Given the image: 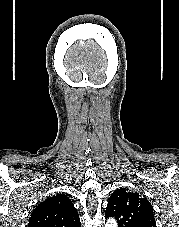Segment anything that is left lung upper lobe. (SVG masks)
I'll return each instance as SVG.
<instances>
[{"instance_id": "5c2ea615", "label": "left lung upper lobe", "mask_w": 179, "mask_h": 227, "mask_svg": "<svg viewBox=\"0 0 179 227\" xmlns=\"http://www.w3.org/2000/svg\"><path fill=\"white\" fill-rule=\"evenodd\" d=\"M114 217L118 227H156L153 208L146 198L123 188L111 195L105 218Z\"/></svg>"}]
</instances>
